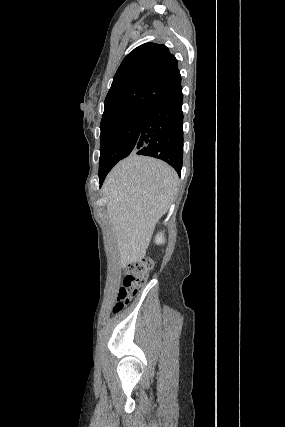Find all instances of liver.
<instances>
[{"mask_svg":"<svg viewBox=\"0 0 285 427\" xmlns=\"http://www.w3.org/2000/svg\"><path fill=\"white\" fill-rule=\"evenodd\" d=\"M179 178L167 163L135 153L120 161L103 184L121 266L146 255L155 225L168 211Z\"/></svg>","mask_w":285,"mask_h":427,"instance_id":"obj_1","label":"liver"}]
</instances>
